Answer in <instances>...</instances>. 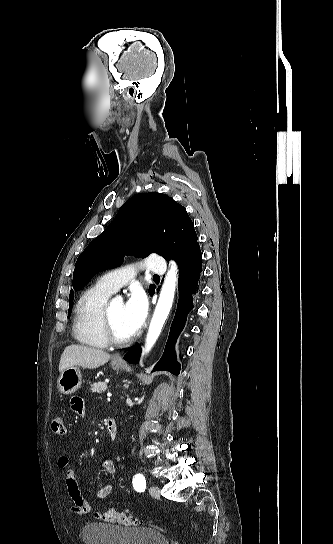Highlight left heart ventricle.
<instances>
[{"mask_svg":"<svg viewBox=\"0 0 333 544\" xmlns=\"http://www.w3.org/2000/svg\"><path fill=\"white\" fill-rule=\"evenodd\" d=\"M110 316L117 335L120 337H128L133 334L125 322L123 302L114 301L110 304Z\"/></svg>","mask_w":333,"mask_h":544,"instance_id":"obj_1","label":"left heart ventricle"}]
</instances>
